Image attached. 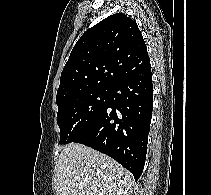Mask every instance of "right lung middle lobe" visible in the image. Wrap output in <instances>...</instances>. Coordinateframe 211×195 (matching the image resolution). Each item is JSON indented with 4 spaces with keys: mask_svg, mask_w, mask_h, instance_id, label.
<instances>
[{
    "mask_svg": "<svg viewBox=\"0 0 211 195\" xmlns=\"http://www.w3.org/2000/svg\"><path fill=\"white\" fill-rule=\"evenodd\" d=\"M110 93L109 88L89 90L57 104L59 143H71L81 136L107 107Z\"/></svg>",
    "mask_w": 211,
    "mask_h": 195,
    "instance_id": "obj_1",
    "label": "right lung middle lobe"
}]
</instances>
